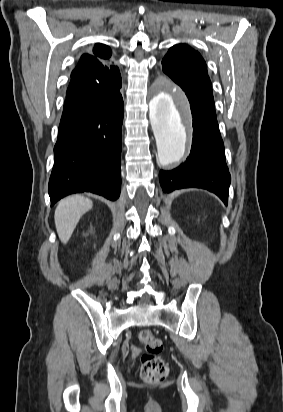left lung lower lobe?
Segmentation results:
<instances>
[{
    "instance_id": "left-lung-lower-lobe-1",
    "label": "left lung lower lobe",
    "mask_w": 283,
    "mask_h": 412,
    "mask_svg": "<svg viewBox=\"0 0 283 412\" xmlns=\"http://www.w3.org/2000/svg\"><path fill=\"white\" fill-rule=\"evenodd\" d=\"M174 82L185 91L190 102L193 139L185 163L171 171H160L161 187L166 193L190 187L206 189L227 205L231 177L225 161L213 94L183 78Z\"/></svg>"
}]
</instances>
